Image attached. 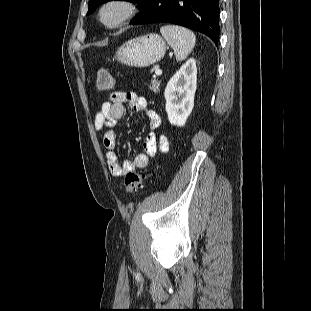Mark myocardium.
I'll list each match as a JSON object with an SVG mask.
<instances>
[{
  "label": "myocardium",
  "instance_id": "1",
  "mask_svg": "<svg viewBox=\"0 0 311 311\" xmlns=\"http://www.w3.org/2000/svg\"><path fill=\"white\" fill-rule=\"evenodd\" d=\"M110 9H116L117 15L114 19L108 20L106 13ZM136 12L135 4L130 0H107L98 10L99 21L109 29H116L129 21Z\"/></svg>",
  "mask_w": 311,
  "mask_h": 311
}]
</instances>
